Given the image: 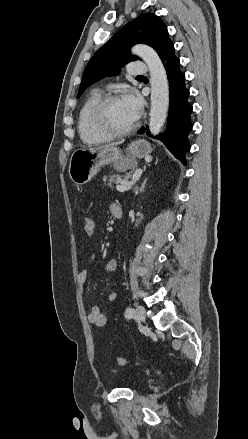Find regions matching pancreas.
Here are the masks:
<instances>
[{
  "instance_id": "obj_1",
  "label": "pancreas",
  "mask_w": 248,
  "mask_h": 439,
  "mask_svg": "<svg viewBox=\"0 0 248 439\" xmlns=\"http://www.w3.org/2000/svg\"><path fill=\"white\" fill-rule=\"evenodd\" d=\"M130 177H131L130 173H127L125 176H120V175L114 174V175L104 176L103 181L108 182V185L112 186V184H115V183L125 182Z\"/></svg>"
}]
</instances>
